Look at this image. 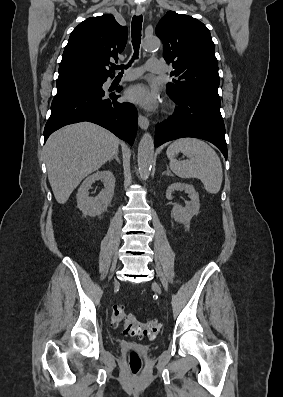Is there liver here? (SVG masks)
Returning a JSON list of instances; mask_svg holds the SVG:
<instances>
[{"mask_svg": "<svg viewBox=\"0 0 283 397\" xmlns=\"http://www.w3.org/2000/svg\"><path fill=\"white\" fill-rule=\"evenodd\" d=\"M120 140L108 130L81 122L54 132L44 147L48 180L58 203L64 204L83 178L117 152Z\"/></svg>", "mask_w": 283, "mask_h": 397, "instance_id": "1", "label": "liver"}]
</instances>
